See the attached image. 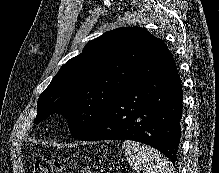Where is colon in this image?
<instances>
[{"instance_id":"1","label":"colon","mask_w":219,"mask_h":173,"mask_svg":"<svg viewBox=\"0 0 219 173\" xmlns=\"http://www.w3.org/2000/svg\"><path fill=\"white\" fill-rule=\"evenodd\" d=\"M64 169L60 161L54 159H39L35 162L33 173H59ZM84 173H90L88 171Z\"/></svg>"}]
</instances>
